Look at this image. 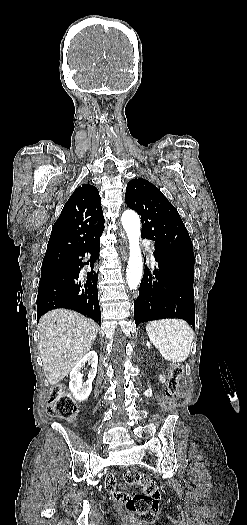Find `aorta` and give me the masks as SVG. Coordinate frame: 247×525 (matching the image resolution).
<instances>
[{
    "mask_svg": "<svg viewBox=\"0 0 247 525\" xmlns=\"http://www.w3.org/2000/svg\"><path fill=\"white\" fill-rule=\"evenodd\" d=\"M123 228L129 240V260L126 280L131 290H136L140 284L143 272V260L140 250L141 223L136 212L127 210L121 217Z\"/></svg>",
    "mask_w": 247,
    "mask_h": 525,
    "instance_id": "obj_1",
    "label": "aorta"
}]
</instances>
